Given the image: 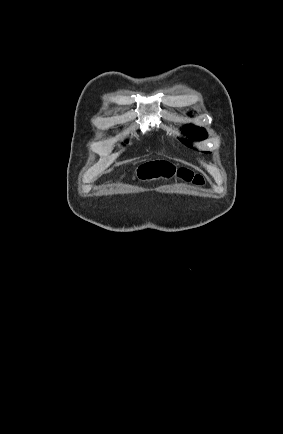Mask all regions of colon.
<instances>
[{
	"mask_svg": "<svg viewBox=\"0 0 283 434\" xmlns=\"http://www.w3.org/2000/svg\"><path fill=\"white\" fill-rule=\"evenodd\" d=\"M175 173L173 167L164 162H152L141 166L138 170V176L141 180H155L159 178H169ZM177 175L185 181L192 182L196 185H202L204 179L201 175L195 174L187 169H180Z\"/></svg>",
	"mask_w": 283,
	"mask_h": 434,
	"instance_id": "1",
	"label": "colon"
}]
</instances>
